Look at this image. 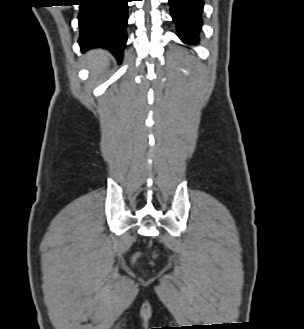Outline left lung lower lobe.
<instances>
[{
    "label": "left lung lower lobe",
    "mask_w": 304,
    "mask_h": 329,
    "mask_svg": "<svg viewBox=\"0 0 304 329\" xmlns=\"http://www.w3.org/2000/svg\"><path fill=\"white\" fill-rule=\"evenodd\" d=\"M171 16L177 25L178 36L184 43L198 42L202 26V0H169Z\"/></svg>",
    "instance_id": "left-lung-lower-lobe-1"
}]
</instances>
